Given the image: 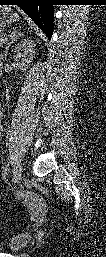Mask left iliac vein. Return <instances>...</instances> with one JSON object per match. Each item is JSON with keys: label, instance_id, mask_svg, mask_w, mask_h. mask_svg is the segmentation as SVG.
<instances>
[{"label": "left iliac vein", "instance_id": "left-iliac-vein-1", "mask_svg": "<svg viewBox=\"0 0 106 257\" xmlns=\"http://www.w3.org/2000/svg\"><path fill=\"white\" fill-rule=\"evenodd\" d=\"M22 168L20 164H16L13 169V180L15 183H18L21 180Z\"/></svg>", "mask_w": 106, "mask_h": 257}]
</instances>
